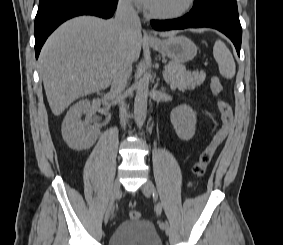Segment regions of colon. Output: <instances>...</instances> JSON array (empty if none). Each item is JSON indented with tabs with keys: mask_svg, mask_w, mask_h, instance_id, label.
<instances>
[{
	"mask_svg": "<svg viewBox=\"0 0 283 245\" xmlns=\"http://www.w3.org/2000/svg\"><path fill=\"white\" fill-rule=\"evenodd\" d=\"M210 89L211 92L216 96L222 92L223 86L218 77H213L211 79ZM217 107L221 124L210 139L208 145L200 153L197 162L193 166V174L195 175L196 179L201 178L205 174L207 167L211 163L217 149L227 137L233 124V111L231 105L227 101L219 99L217 101ZM129 217L132 220H138L140 219L141 215L138 210L134 209L129 212Z\"/></svg>",
	"mask_w": 283,
	"mask_h": 245,
	"instance_id": "colon-1",
	"label": "colon"
}]
</instances>
